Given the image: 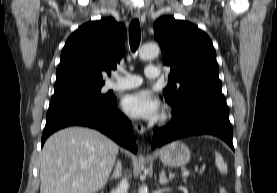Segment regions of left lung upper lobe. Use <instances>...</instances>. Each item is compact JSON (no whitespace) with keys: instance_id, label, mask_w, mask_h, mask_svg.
<instances>
[{"instance_id":"left-lung-upper-lobe-1","label":"left lung upper lobe","mask_w":277,"mask_h":193,"mask_svg":"<svg viewBox=\"0 0 277 193\" xmlns=\"http://www.w3.org/2000/svg\"><path fill=\"white\" fill-rule=\"evenodd\" d=\"M153 28L163 62L171 68L172 80L163 93L173 109L182 107L195 93L221 91L216 52L206 33L172 16L159 18Z\"/></svg>"}]
</instances>
